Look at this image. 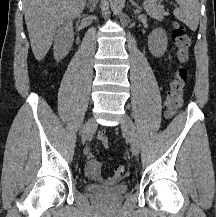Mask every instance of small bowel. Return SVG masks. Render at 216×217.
<instances>
[{"label":"small bowel","instance_id":"obj_1","mask_svg":"<svg viewBox=\"0 0 216 217\" xmlns=\"http://www.w3.org/2000/svg\"><path fill=\"white\" fill-rule=\"evenodd\" d=\"M85 174L90 180L98 183L112 185L117 182V179L115 177H109L106 180L102 178L101 165L95 160V157L91 152L86 153Z\"/></svg>","mask_w":216,"mask_h":217}]
</instances>
